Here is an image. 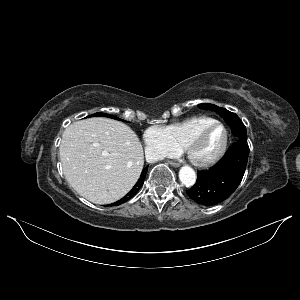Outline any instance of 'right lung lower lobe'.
Instances as JSON below:
<instances>
[{
	"label": "right lung lower lobe",
	"mask_w": 300,
	"mask_h": 300,
	"mask_svg": "<svg viewBox=\"0 0 300 300\" xmlns=\"http://www.w3.org/2000/svg\"><path fill=\"white\" fill-rule=\"evenodd\" d=\"M147 169H148V167H145V168L143 169V171H142V173H141V176H140V179H139L138 182L135 184V186L131 189V191H130L126 196H124L121 200H119V201L113 203L112 205L117 206V205H120V204L126 202L127 200H129L130 198H132V197L139 191L138 189H140L141 186L143 185V182H144V179H145V176H146ZM138 185H140V188H138V187H139Z\"/></svg>",
	"instance_id": "obj_1"
}]
</instances>
